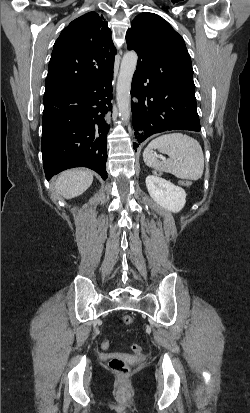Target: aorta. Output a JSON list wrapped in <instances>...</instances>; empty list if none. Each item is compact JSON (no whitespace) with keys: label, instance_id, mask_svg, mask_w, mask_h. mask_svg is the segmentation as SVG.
<instances>
[{"label":"aorta","instance_id":"aorta-1","mask_svg":"<svg viewBox=\"0 0 250 413\" xmlns=\"http://www.w3.org/2000/svg\"><path fill=\"white\" fill-rule=\"evenodd\" d=\"M138 56L134 51L124 54L121 61L120 72L117 81V105L121 119L127 122L130 119V89Z\"/></svg>","mask_w":250,"mask_h":413}]
</instances>
